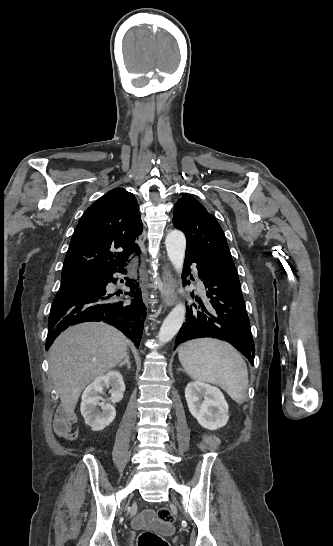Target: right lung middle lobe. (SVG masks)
<instances>
[{"mask_svg": "<svg viewBox=\"0 0 333 546\" xmlns=\"http://www.w3.org/2000/svg\"><path fill=\"white\" fill-rule=\"evenodd\" d=\"M75 280H64V281H61V285H64V284H67V283H71V282H74Z\"/></svg>", "mask_w": 333, "mask_h": 546, "instance_id": "dd1d6c3e", "label": "right lung middle lobe"}]
</instances>
